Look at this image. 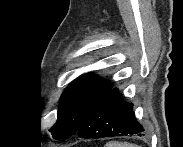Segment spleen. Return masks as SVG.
Segmentation results:
<instances>
[{
	"instance_id": "3e777b00",
	"label": "spleen",
	"mask_w": 183,
	"mask_h": 147,
	"mask_svg": "<svg viewBox=\"0 0 183 147\" xmlns=\"http://www.w3.org/2000/svg\"><path fill=\"white\" fill-rule=\"evenodd\" d=\"M105 147H139V146L127 142H108L105 145Z\"/></svg>"
}]
</instances>
